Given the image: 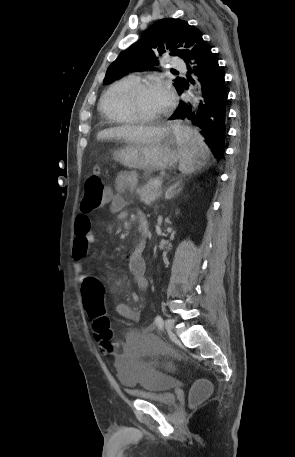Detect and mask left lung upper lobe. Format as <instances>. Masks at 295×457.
<instances>
[{
	"mask_svg": "<svg viewBox=\"0 0 295 457\" xmlns=\"http://www.w3.org/2000/svg\"><path fill=\"white\" fill-rule=\"evenodd\" d=\"M202 39L201 32L186 21L164 18L154 23L140 40L120 53L108 67L104 83L117 80L133 71H144L158 64L157 56L169 49L170 55L187 61L193 46ZM183 49H178V48ZM178 91L180 78L173 84Z\"/></svg>",
	"mask_w": 295,
	"mask_h": 457,
	"instance_id": "5c2ea615",
	"label": "left lung upper lobe"
}]
</instances>
